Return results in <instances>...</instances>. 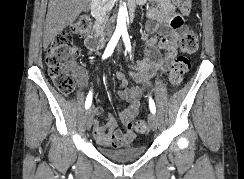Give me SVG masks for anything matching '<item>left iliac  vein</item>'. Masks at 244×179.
<instances>
[{
  "instance_id": "left-iliac-vein-1",
  "label": "left iliac vein",
  "mask_w": 244,
  "mask_h": 179,
  "mask_svg": "<svg viewBox=\"0 0 244 179\" xmlns=\"http://www.w3.org/2000/svg\"><path fill=\"white\" fill-rule=\"evenodd\" d=\"M118 50H120L119 47H118ZM148 123H149L151 130L155 132L159 126V122H158V118L156 117V115L154 113L149 114Z\"/></svg>"
}]
</instances>
